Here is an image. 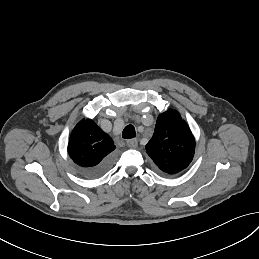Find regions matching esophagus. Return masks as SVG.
Returning <instances> with one entry per match:
<instances>
[{"label": "esophagus", "instance_id": "34e87169", "mask_svg": "<svg viewBox=\"0 0 259 259\" xmlns=\"http://www.w3.org/2000/svg\"><path fill=\"white\" fill-rule=\"evenodd\" d=\"M127 146L129 148H136L138 146V142L136 139H130L127 141Z\"/></svg>", "mask_w": 259, "mask_h": 259}]
</instances>
